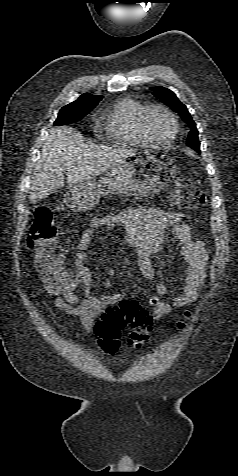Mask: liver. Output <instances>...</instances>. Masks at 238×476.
I'll use <instances>...</instances> for the list:
<instances>
[{
  "mask_svg": "<svg viewBox=\"0 0 238 476\" xmlns=\"http://www.w3.org/2000/svg\"><path fill=\"white\" fill-rule=\"evenodd\" d=\"M134 153V149L125 146H96L85 142L72 128H52L33 173L29 201L34 203L62 188L65 170L67 183L72 186L92 180Z\"/></svg>",
  "mask_w": 238,
  "mask_h": 476,
  "instance_id": "6515ba94",
  "label": "liver"
}]
</instances>
